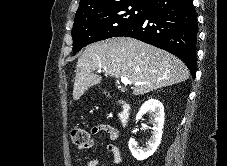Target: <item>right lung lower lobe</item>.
<instances>
[{
	"instance_id": "1",
	"label": "right lung lower lobe",
	"mask_w": 227,
	"mask_h": 166,
	"mask_svg": "<svg viewBox=\"0 0 227 166\" xmlns=\"http://www.w3.org/2000/svg\"><path fill=\"white\" fill-rule=\"evenodd\" d=\"M197 28L192 0H153L145 15L117 36L136 38L174 54L194 78Z\"/></svg>"
}]
</instances>
